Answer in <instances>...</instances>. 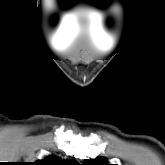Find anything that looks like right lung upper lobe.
Listing matches in <instances>:
<instances>
[{
	"mask_svg": "<svg viewBox=\"0 0 165 165\" xmlns=\"http://www.w3.org/2000/svg\"><path fill=\"white\" fill-rule=\"evenodd\" d=\"M33 165H79L75 161L61 160L55 156H49L43 160L34 162Z\"/></svg>",
	"mask_w": 165,
	"mask_h": 165,
	"instance_id": "right-lung-upper-lobe-1",
	"label": "right lung upper lobe"
}]
</instances>
